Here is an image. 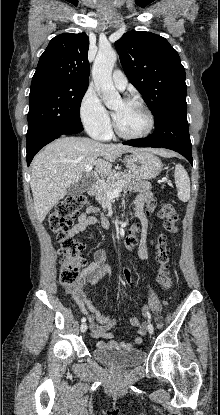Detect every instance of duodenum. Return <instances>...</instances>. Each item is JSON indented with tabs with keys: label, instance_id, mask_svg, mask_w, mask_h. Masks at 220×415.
I'll list each match as a JSON object with an SVG mask.
<instances>
[{
	"label": "duodenum",
	"instance_id": "1",
	"mask_svg": "<svg viewBox=\"0 0 220 415\" xmlns=\"http://www.w3.org/2000/svg\"><path fill=\"white\" fill-rule=\"evenodd\" d=\"M96 186L94 183H90L87 187L88 194H93L95 192Z\"/></svg>",
	"mask_w": 220,
	"mask_h": 415
}]
</instances>
